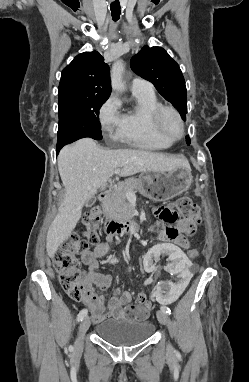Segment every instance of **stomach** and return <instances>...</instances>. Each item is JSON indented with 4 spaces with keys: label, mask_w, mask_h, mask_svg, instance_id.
<instances>
[{
    "label": "stomach",
    "mask_w": 249,
    "mask_h": 382,
    "mask_svg": "<svg viewBox=\"0 0 249 382\" xmlns=\"http://www.w3.org/2000/svg\"><path fill=\"white\" fill-rule=\"evenodd\" d=\"M138 181L142 195L153 201H166L188 190L192 175L190 169L177 167L169 172L145 171Z\"/></svg>",
    "instance_id": "0dacf381"
}]
</instances>
